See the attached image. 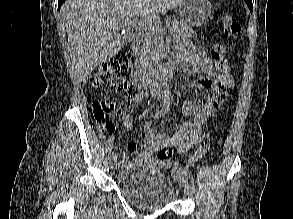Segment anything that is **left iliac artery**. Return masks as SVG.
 I'll list each match as a JSON object with an SVG mask.
<instances>
[{
    "instance_id": "1",
    "label": "left iliac artery",
    "mask_w": 293,
    "mask_h": 219,
    "mask_svg": "<svg viewBox=\"0 0 293 219\" xmlns=\"http://www.w3.org/2000/svg\"><path fill=\"white\" fill-rule=\"evenodd\" d=\"M189 178H190V187H191V189H194L195 188V186H194V178H193V176L191 174H190Z\"/></svg>"
}]
</instances>
